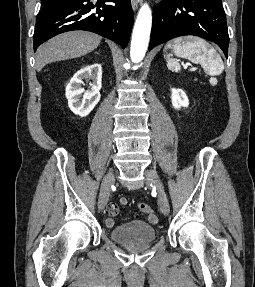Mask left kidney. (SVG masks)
<instances>
[{
	"mask_svg": "<svg viewBox=\"0 0 255 287\" xmlns=\"http://www.w3.org/2000/svg\"><path fill=\"white\" fill-rule=\"evenodd\" d=\"M171 92L172 106H174L176 110H179V108H188L189 100L183 90H176V88H172Z\"/></svg>",
	"mask_w": 255,
	"mask_h": 287,
	"instance_id": "obj_1",
	"label": "left kidney"
}]
</instances>
